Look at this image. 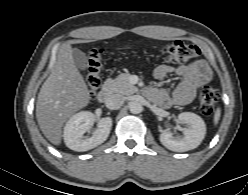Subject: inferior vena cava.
<instances>
[{"mask_svg":"<svg viewBox=\"0 0 248 195\" xmlns=\"http://www.w3.org/2000/svg\"><path fill=\"white\" fill-rule=\"evenodd\" d=\"M125 101V97L121 94H114L107 98L105 105L110 110L119 109Z\"/></svg>","mask_w":248,"mask_h":195,"instance_id":"602c4592","label":"inferior vena cava"}]
</instances>
